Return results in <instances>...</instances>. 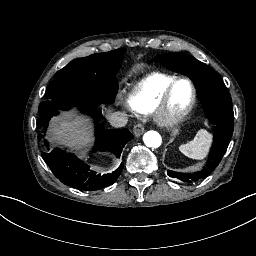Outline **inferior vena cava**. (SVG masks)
<instances>
[{"label":"inferior vena cava","instance_id":"inferior-vena-cava-1","mask_svg":"<svg viewBox=\"0 0 256 256\" xmlns=\"http://www.w3.org/2000/svg\"><path fill=\"white\" fill-rule=\"evenodd\" d=\"M109 124L114 128L125 127L128 123V117L124 112H114L107 114Z\"/></svg>","mask_w":256,"mask_h":256}]
</instances>
